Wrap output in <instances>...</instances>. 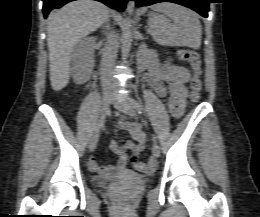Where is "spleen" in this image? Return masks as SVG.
I'll return each instance as SVG.
<instances>
[{
	"label": "spleen",
	"mask_w": 260,
	"mask_h": 217,
	"mask_svg": "<svg viewBox=\"0 0 260 217\" xmlns=\"http://www.w3.org/2000/svg\"><path fill=\"white\" fill-rule=\"evenodd\" d=\"M152 9L156 13L151 15L148 24L156 42L168 46L200 47L202 27L194 11L173 3H159Z\"/></svg>",
	"instance_id": "obj_1"
}]
</instances>
